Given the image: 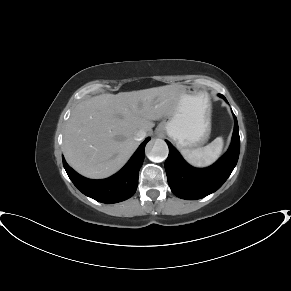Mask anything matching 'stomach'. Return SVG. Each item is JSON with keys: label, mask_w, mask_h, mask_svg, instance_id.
<instances>
[{"label": "stomach", "mask_w": 291, "mask_h": 291, "mask_svg": "<svg viewBox=\"0 0 291 291\" xmlns=\"http://www.w3.org/2000/svg\"><path fill=\"white\" fill-rule=\"evenodd\" d=\"M167 134L182 149L202 146L211 133V102L205 90L183 87L173 109L156 129Z\"/></svg>", "instance_id": "1"}]
</instances>
